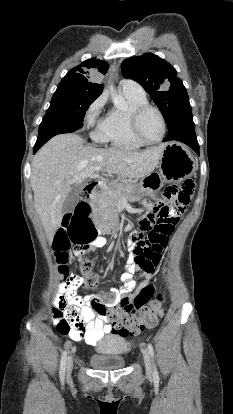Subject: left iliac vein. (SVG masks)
<instances>
[{
	"instance_id": "obj_1",
	"label": "left iliac vein",
	"mask_w": 233,
	"mask_h": 414,
	"mask_svg": "<svg viewBox=\"0 0 233 414\" xmlns=\"http://www.w3.org/2000/svg\"><path fill=\"white\" fill-rule=\"evenodd\" d=\"M143 358H144L146 373L148 375H151L152 374V363H151L150 354L147 350L143 351Z\"/></svg>"
}]
</instances>
